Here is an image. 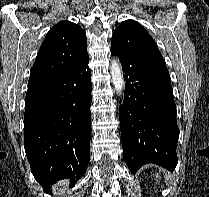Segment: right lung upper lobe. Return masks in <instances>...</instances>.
I'll use <instances>...</instances> for the list:
<instances>
[{
	"label": "right lung upper lobe",
	"instance_id": "cb5924a9",
	"mask_svg": "<svg viewBox=\"0 0 209 197\" xmlns=\"http://www.w3.org/2000/svg\"><path fill=\"white\" fill-rule=\"evenodd\" d=\"M87 55L85 31L75 23L59 22L50 29L40 47L28 86L65 72Z\"/></svg>",
	"mask_w": 209,
	"mask_h": 197
}]
</instances>
